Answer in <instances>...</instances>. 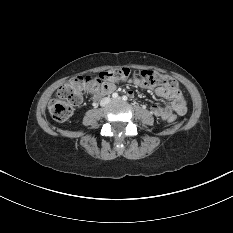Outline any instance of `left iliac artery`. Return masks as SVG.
Segmentation results:
<instances>
[{"mask_svg": "<svg viewBox=\"0 0 233 233\" xmlns=\"http://www.w3.org/2000/svg\"><path fill=\"white\" fill-rule=\"evenodd\" d=\"M122 99H123L124 101H127V100H128V97L124 95V96L122 97Z\"/></svg>", "mask_w": 233, "mask_h": 233, "instance_id": "obj_1", "label": "left iliac artery"}]
</instances>
